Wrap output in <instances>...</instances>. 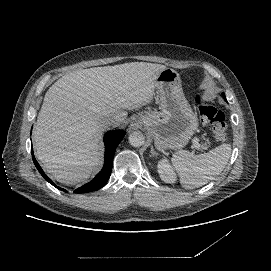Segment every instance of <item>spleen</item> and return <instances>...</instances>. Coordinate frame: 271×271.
Returning <instances> with one entry per match:
<instances>
[{
	"label": "spleen",
	"mask_w": 271,
	"mask_h": 271,
	"mask_svg": "<svg viewBox=\"0 0 271 271\" xmlns=\"http://www.w3.org/2000/svg\"><path fill=\"white\" fill-rule=\"evenodd\" d=\"M231 156V146L222 144L208 153L193 155L189 151H177L171 161L179 173L180 183L188 189L200 187L220 174Z\"/></svg>",
	"instance_id": "3e777b00"
}]
</instances>
